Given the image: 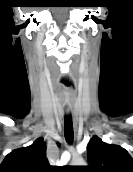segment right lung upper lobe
Masks as SVG:
<instances>
[{
	"label": "right lung upper lobe",
	"instance_id": "1",
	"mask_svg": "<svg viewBox=\"0 0 133 172\" xmlns=\"http://www.w3.org/2000/svg\"><path fill=\"white\" fill-rule=\"evenodd\" d=\"M43 138L32 145L13 150L0 165V172H51Z\"/></svg>",
	"mask_w": 133,
	"mask_h": 172
}]
</instances>
